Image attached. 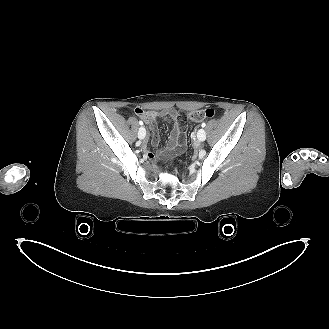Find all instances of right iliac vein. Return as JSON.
Segmentation results:
<instances>
[{"mask_svg":"<svg viewBox=\"0 0 329 329\" xmlns=\"http://www.w3.org/2000/svg\"><path fill=\"white\" fill-rule=\"evenodd\" d=\"M146 135V130L144 127H140L138 131V138L143 139Z\"/></svg>","mask_w":329,"mask_h":329,"instance_id":"right-iliac-vein-1","label":"right iliac vein"}]
</instances>
